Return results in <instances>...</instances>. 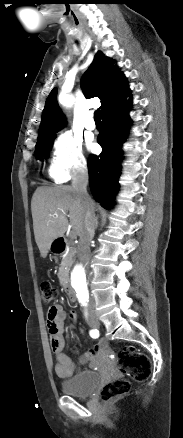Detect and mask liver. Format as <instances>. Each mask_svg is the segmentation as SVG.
Instances as JSON below:
<instances>
[{"mask_svg":"<svg viewBox=\"0 0 183 438\" xmlns=\"http://www.w3.org/2000/svg\"><path fill=\"white\" fill-rule=\"evenodd\" d=\"M90 205L94 209L91 199ZM31 211L35 241L42 258H46L53 241L64 236L69 225L75 235H80L84 228L85 205L71 186L37 188Z\"/></svg>","mask_w":183,"mask_h":438,"instance_id":"liver-1","label":"liver"}]
</instances>
